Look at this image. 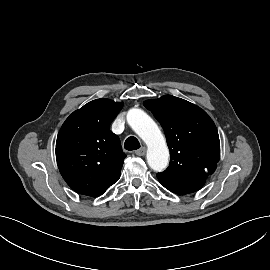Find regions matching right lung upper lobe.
I'll return each instance as SVG.
<instances>
[{
    "label": "right lung upper lobe",
    "mask_w": 270,
    "mask_h": 270,
    "mask_svg": "<svg viewBox=\"0 0 270 270\" xmlns=\"http://www.w3.org/2000/svg\"><path fill=\"white\" fill-rule=\"evenodd\" d=\"M123 103L100 98L73 112L56 141L59 171L77 193L97 197L120 178L126 155L110 124Z\"/></svg>",
    "instance_id": "cb5924a9"
}]
</instances>
